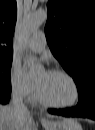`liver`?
Listing matches in <instances>:
<instances>
[{
  "mask_svg": "<svg viewBox=\"0 0 95 130\" xmlns=\"http://www.w3.org/2000/svg\"><path fill=\"white\" fill-rule=\"evenodd\" d=\"M52 117L51 115H48ZM0 130H37L33 114L17 113L11 105L0 106Z\"/></svg>",
  "mask_w": 95,
  "mask_h": 130,
  "instance_id": "liver-1",
  "label": "liver"
}]
</instances>
